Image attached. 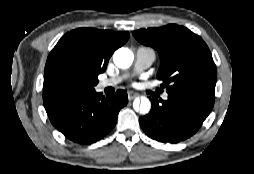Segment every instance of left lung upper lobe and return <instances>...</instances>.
Segmentation results:
<instances>
[{
  "label": "left lung upper lobe",
  "mask_w": 254,
  "mask_h": 174,
  "mask_svg": "<svg viewBox=\"0 0 254 174\" xmlns=\"http://www.w3.org/2000/svg\"><path fill=\"white\" fill-rule=\"evenodd\" d=\"M133 35L158 51L157 78L168 94L189 93L214 101L217 70L208 46L198 35L175 24L140 29Z\"/></svg>",
  "instance_id": "obj_1"
}]
</instances>
